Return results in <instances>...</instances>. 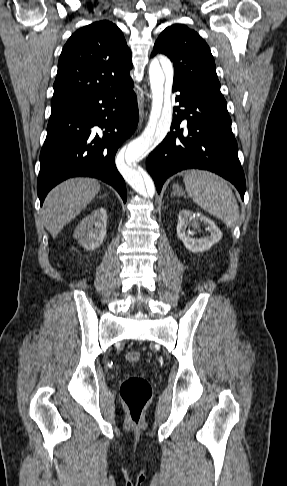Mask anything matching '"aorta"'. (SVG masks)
Masks as SVG:
<instances>
[{
  "label": "aorta",
  "mask_w": 287,
  "mask_h": 486,
  "mask_svg": "<svg viewBox=\"0 0 287 486\" xmlns=\"http://www.w3.org/2000/svg\"><path fill=\"white\" fill-rule=\"evenodd\" d=\"M152 92V109L148 124L142 134L127 147V163L119 162L118 169L125 181L140 195L153 196L155 187L151 180L145 181L133 160L145 154L160 143L169 132L172 123L171 88L173 84V65L167 57L155 58L149 67ZM166 79V88L164 83Z\"/></svg>",
  "instance_id": "aorta-1"
}]
</instances>
